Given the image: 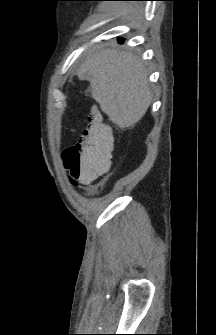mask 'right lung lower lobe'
<instances>
[{"instance_id": "98d812e1", "label": "right lung lower lobe", "mask_w": 216, "mask_h": 335, "mask_svg": "<svg viewBox=\"0 0 216 335\" xmlns=\"http://www.w3.org/2000/svg\"><path fill=\"white\" fill-rule=\"evenodd\" d=\"M118 42H119V43H122V42H123V39H122V38H118Z\"/></svg>"}]
</instances>
